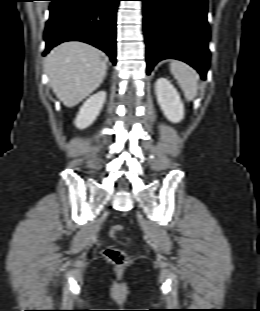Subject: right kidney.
<instances>
[{
    "label": "right kidney",
    "mask_w": 260,
    "mask_h": 311,
    "mask_svg": "<svg viewBox=\"0 0 260 311\" xmlns=\"http://www.w3.org/2000/svg\"><path fill=\"white\" fill-rule=\"evenodd\" d=\"M105 99V91H100L90 96L80 108V111L74 121L75 126L79 129H84L90 126L99 115Z\"/></svg>",
    "instance_id": "1"
}]
</instances>
